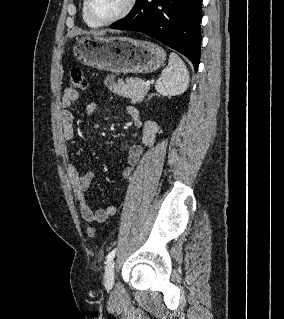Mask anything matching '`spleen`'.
Instances as JSON below:
<instances>
[{
    "instance_id": "1",
    "label": "spleen",
    "mask_w": 284,
    "mask_h": 319,
    "mask_svg": "<svg viewBox=\"0 0 284 319\" xmlns=\"http://www.w3.org/2000/svg\"><path fill=\"white\" fill-rule=\"evenodd\" d=\"M188 85L189 73L184 62L176 53H170L168 66L156 81V91L163 96H175L184 93Z\"/></svg>"
}]
</instances>
